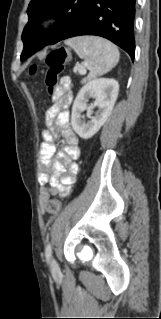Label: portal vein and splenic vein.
<instances>
[{"label": "portal vein and splenic vein", "instance_id": "1", "mask_svg": "<svg viewBox=\"0 0 161 319\" xmlns=\"http://www.w3.org/2000/svg\"><path fill=\"white\" fill-rule=\"evenodd\" d=\"M78 73L79 74H85L86 73V69L80 68V69H78Z\"/></svg>", "mask_w": 161, "mask_h": 319}]
</instances>
